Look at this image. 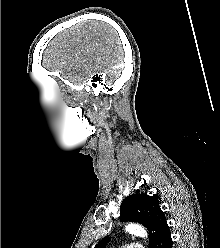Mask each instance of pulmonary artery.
<instances>
[{"label":"pulmonary artery","mask_w":220,"mask_h":248,"mask_svg":"<svg viewBox=\"0 0 220 248\" xmlns=\"http://www.w3.org/2000/svg\"><path fill=\"white\" fill-rule=\"evenodd\" d=\"M121 248H143V246L138 244V243H134V244H129V245L123 246Z\"/></svg>","instance_id":"pulmonary-artery-1"}]
</instances>
